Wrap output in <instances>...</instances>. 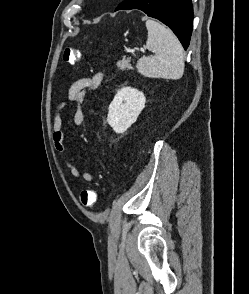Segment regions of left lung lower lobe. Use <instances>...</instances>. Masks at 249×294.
I'll return each mask as SVG.
<instances>
[{
    "instance_id": "left-lung-lower-lobe-1",
    "label": "left lung lower lobe",
    "mask_w": 249,
    "mask_h": 294,
    "mask_svg": "<svg viewBox=\"0 0 249 294\" xmlns=\"http://www.w3.org/2000/svg\"><path fill=\"white\" fill-rule=\"evenodd\" d=\"M139 9L148 16L166 24L175 33L186 50L193 26L191 0H125L116 9Z\"/></svg>"
}]
</instances>
